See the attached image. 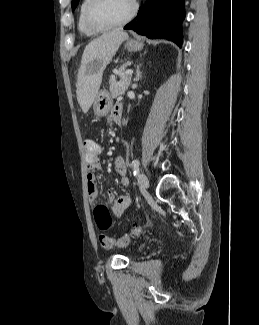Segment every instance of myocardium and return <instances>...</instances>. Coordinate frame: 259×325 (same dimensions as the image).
I'll use <instances>...</instances> for the list:
<instances>
[{
	"instance_id": "f54148a6",
	"label": "myocardium",
	"mask_w": 259,
	"mask_h": 325,
	"mask_svg": "<svg viewBox=\"0 0 259 325\" xmlns=\"http://www.w3.org/2000/svg\"><path fill=\"white\" fill-rule=\"evenodd\" d=\"M102 2L103 0H89L85 8V12H84L85 22L88 25V27H90L93 30L105 31V30H110L113 28L123 26L126 23H128L135 16L137 12V4L134 0H132L131 10L123 19L114 22L101 21L95 17V11Z\"/></svg>"
}]
</instances>
